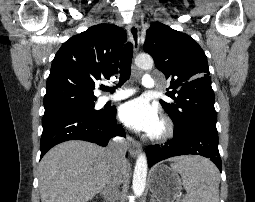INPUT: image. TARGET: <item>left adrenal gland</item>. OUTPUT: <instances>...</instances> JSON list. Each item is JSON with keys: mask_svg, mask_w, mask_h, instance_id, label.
<instances>
[{"mask_svg": "<svg viewBox=\"0 0 255 202\" xmlns=\"http://www.w3.org/2000/svg\"><path fill=\"white\" fill-rule=\"evenodd\" d=\"M150 202H156L155 199L153 198V196H151Z\"/></svg>", "mask_w": 255, "mask_h": 202, "instance_id": "left-adrenal-gland-1", "label": "left adrenal gland"}]
</instances>
